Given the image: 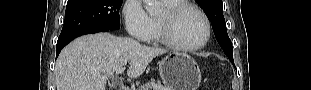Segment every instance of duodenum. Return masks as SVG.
<instances>
[{
  "mask_svg": "<svg viewBox=\"0 0 311 90\" xmlns=\"http://www.w3.org/2000/svg\"><path fill=\"white\" fill-rule=\"evenodd\" d=\"M116 89L117 90H130L127 86H119Z\"/></svg>",
  "mask_w": 311,
  "mask_h": 90,
  "instance_id": "410a0bca",
  "label": "duodenum"
}]
</instances>
